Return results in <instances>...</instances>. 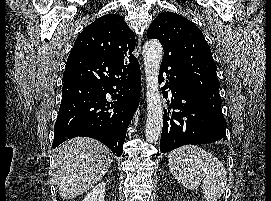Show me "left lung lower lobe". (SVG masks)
<instances>
[{
	"instance_id": "obj_1",
	"label": "left lung lower lobe",
	"mask_w": 271,
	"mask_h": 201,
	"mask_svg": "<svg viewBox=\"0 0 271 201\" xmlns=\"http://www.w3.org/2000/svg\"><path fill=\"white\" fill-rule=\"evenodd\" d=\"M167 81L162 88L164 98L171 88L172 99L168 109L164 108L163 130L160 140V151L170 152L187 144H207L215 141H225L224 134L209 108L203 100L191 89L172 65L161 63L159 81Z\"/></svg>"
}]
</instances>
